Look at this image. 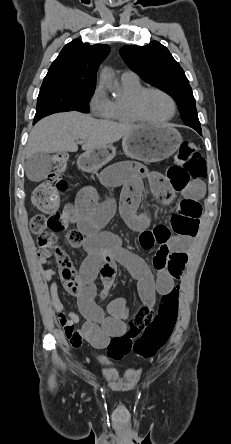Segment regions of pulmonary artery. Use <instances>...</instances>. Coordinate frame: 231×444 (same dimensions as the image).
Wrapping results in <instances>:
<instances>
[{
  "label": "pulmonary artery",
  "instance_id": "pulmonary-artery-1",
  "mask_svg": "<svg viewBox=\"0 0 231 444\" xmlns=\"http://www.w3.org/2000/svg\"><path fill=\"white\" fill-rule=\"evenodd\" d=\"M122 79H138L137 75L134 72L126 71L121 75Z\"/></svg>",
  "mask_w": 231,
  "mask_h": 444
}]
</instances>
